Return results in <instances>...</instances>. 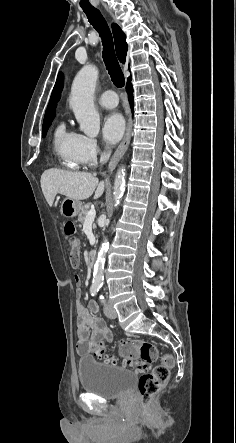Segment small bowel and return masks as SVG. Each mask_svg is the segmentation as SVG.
<instances>
[{"instance_id": "c3829d8e", "label": "small bowel", "mask_w": 236, "mask_h": 443, "mask_svg": "<svg viewBox=\"0 0 236 443\" xmlns=\"http://www.w3.org/2000/svg\"><path fill=\"white\" fill-rule=\"evenodd\" d=\"M75 282L79 286L81 283L80 276L75 275ZM76 327H77V353L84 355L96 346L99 342H111L113 340L112 333L107 329L103 320L95 314L98 312V305L91 301L88 305H84L81 300V290H76Z\"/></svg>"}]
</instances>
